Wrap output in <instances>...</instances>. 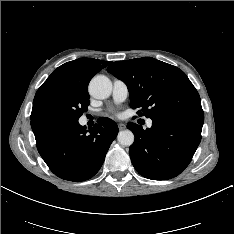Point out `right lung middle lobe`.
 Listing matches in <instances>:
<instances>
[{
  "label": "right lung middle lobe",
  "mask_w": 234,
  "mask_h": 234,
  "mask_svg": "<svg viewBox=\"0 0 234 234\" xmlns=\"http://www.w3.org/2000/svg\"><path fill=\"white\" fill-rule=\"evenodd\" d=\"M89 104L87 90L57 87L46 93L40 100L36 116L78 120Z\"/></svg>",
  "instance_id": "obj_1"
}]
</instances>
